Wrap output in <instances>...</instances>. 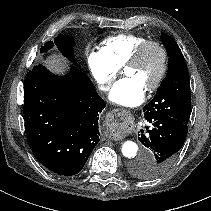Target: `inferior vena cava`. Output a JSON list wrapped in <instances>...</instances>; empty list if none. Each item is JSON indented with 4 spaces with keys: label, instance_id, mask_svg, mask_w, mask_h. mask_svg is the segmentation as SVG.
<instances>
[{
    "label": "inferior vena cava",
    "instance_id": "602c4592",
    "mask_svg": "<svg viewBox=\"0 0 211 211\" xmlns=\"http://www.w3.org/2000/svg\"><path fill=\"white\" fill-rule=\"evenodd\" d=\"M99 88L103 90V89H105V88H106V86L101 85V86H99Z\"/></svg>",
    "mask_w": 211,
    "mask_h": 211
}]
</instances>
